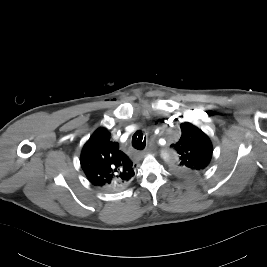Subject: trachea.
<instances>
[{"label":"trachea","mask_w":267,"mask_h":267,"mask_svg":"<svg viewBox=\"0 0 267 267\" xmlns=\"http://www.w3.org/2000/svg\"><path fill=\"white\" fill-rule=\"evenodd\" d=\"M132 146L137 150H143L146 146V137L143 133L136 132L132 137Z\"/></svg>","instance_id":"trachea-1"}]
</instances>
